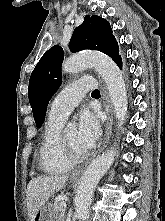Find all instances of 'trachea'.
I'll return each instance as SVG.
<instances>
[{"mask_svg":"<svg viewBox=\"0 0 165 221\" xmlns=\"http://www.w3.org/2000/svg\"><path fill=\"white\" fill-rule=\"evenodd\" d=\"M92 94H93V95H100V91L96 89V90H94V91L92 92Z\"/></svg>","mask_w":165,"mask_h":221,"instance_id":"3493384b","label":"trachea"}]
</instances>
